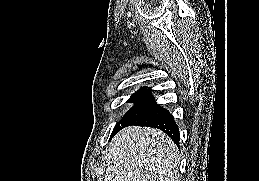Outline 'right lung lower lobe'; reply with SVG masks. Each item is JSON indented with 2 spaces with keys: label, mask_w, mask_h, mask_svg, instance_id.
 <instances>
[{
  "label": "right lung lower lobe",
  "mask_w": 259,
  "mask_h": 181,
  "mask_svg": "<svg viewBox=\"0 0 259 181\" xmlns=\"http://www.w3.org/2000/svg\"><path fill=\"white\" fill-rule=\"evenodd\" d=\"M131 125L158 128L165 132L169 137H171V139L179 146L180 135L178 126L176 125L170 112L167 109L159 106L155 100L139 117L124 127ZM124 127L114 131L111 134V138Z\"/></svg>",
  "instance_id": "obj_1"
}]
</instances>
